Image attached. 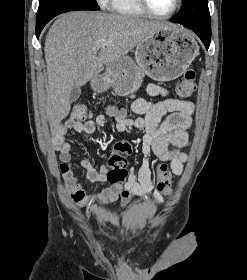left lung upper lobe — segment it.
<instances>
[{
	"label": "left lung upper lobe",
	"mask_w": 247,
	"mask_h": 280,
	"mask_svg": "<svg viewBox=\"0 0 247 280\" xmlns=\"http://www.w3.org/2000/svg\"><path fill=\"white\" fill-rule=\"evenodd\" d=\"M176 19L187 26L211 30L210 13L207 0H184Z\"/></svg>",
	"instance_id": "5c2ea615"
}]
</instances>
